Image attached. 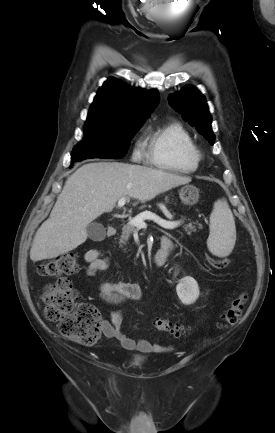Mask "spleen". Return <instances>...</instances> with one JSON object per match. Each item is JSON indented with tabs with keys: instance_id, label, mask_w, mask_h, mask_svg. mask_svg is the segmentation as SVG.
I'll use <instances>...</instances> for the list:
<instances>
[{
	"instance_id": "spleen-1",
	"label": "spleen",
	"mask_w": 275,
	"mask_h": 433,
	"mask_svg": "<svg viewBox=\"0 0 275 433\" xmlns=\"http://www.w3.org/2000/svg\"><path fill=\"white\" fill-rule=\"evenodd\" d=\"M209 229L210 234L207 239L209 251L218 257L228 256L235 245L236 228L226 200L222 199L214 203Z\"/></svg>"
}]
</instances>
